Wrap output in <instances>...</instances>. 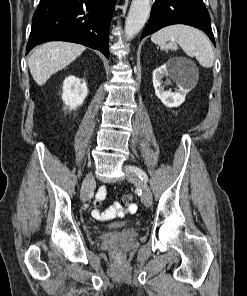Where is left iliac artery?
Segmentation results:
<instances>
[{"mask_svg": "<svg viewBox=\"0 0 247 296\" xmlns=\"http://www.w3.org/2000/svg\"><path fill=\"white\" fill-rule=\"evenodd\" d=\"M130 168H131L132 171H134L139 176V178L142 181H145V182L148 181V176H147V174L143 170H141L140 168H137L135 166H132Z\"/></svg>", "mask_w": 247, "mask_h": 296, "instance_id": "1", "label": "left iliac artery"}]
</instances>
